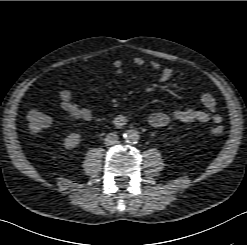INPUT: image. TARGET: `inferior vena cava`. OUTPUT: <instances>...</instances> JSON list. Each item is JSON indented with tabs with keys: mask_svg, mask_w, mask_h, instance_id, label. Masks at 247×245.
<instances>
[{
	"mask_svg": "<svg viewBox=\"0 0 247 245\" xmlns=\"http://www.w3.org/2000/svg\"><path fill=\"white\" fill-rule=\"evenodd\" d=\"M118 139H119V137L117 134L109 133L106 135L104 141H105V144L107 146H110V145H114V144L118 143Z\"/></svg>",
	"mask_w": 247,
	"mask_h": 245,
	"instance_id": "1",
	"label": "inferior vena cava"
}]
</instances>
